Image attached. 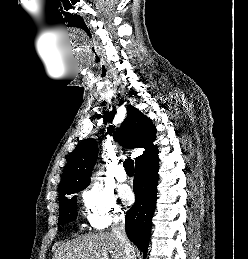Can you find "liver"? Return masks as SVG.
Wrapping results in <instances>:
<instances>
[{
  "label": "liver",
  "instance_id": "1",
  "mask_svg": "<svg viewBox=\"0 0 248 259\" xmlns=\"http://www.w3.org/2000/svg\"><path fill=\"white\" fill-rule=\"evenodd\" d=\"M125 259L124 248L113 233L80 236L58 247L53 259Z\"/></svg>",
  "mask_w": 248,
  "mask_h": 259
}]
</instances>
